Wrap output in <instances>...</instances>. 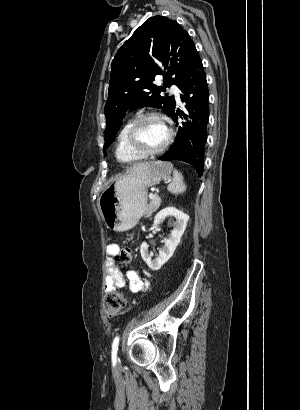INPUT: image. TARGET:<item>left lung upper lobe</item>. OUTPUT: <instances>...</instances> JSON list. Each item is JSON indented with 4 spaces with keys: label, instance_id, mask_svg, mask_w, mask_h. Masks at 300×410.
Instances as JSON below:
<instances>
[{
    "label": "left lung upper lobe",
    "instance_id": "left-lung-upper-lobe-1",
    "mask_svg": "<svg viewBox=\"0 0 300 410\" xmlns=\"http://www.w3.org/2000/svg\"><path fill=\"white\" fill-rule=\"evenodd\" d=\"M197 54L187 31L167 17H151L135 30L112 61L104 149L113 142L129 108L157 107L172 115L174 98L160 92L179 85ZM157 75L164 77L161 87L153 83Z\"/></svg>",
    "mask_w": 300,
    "mask_h": 410
}]
</instances>
